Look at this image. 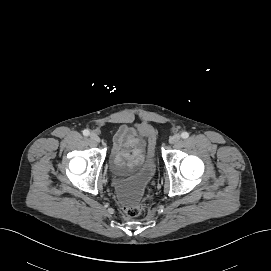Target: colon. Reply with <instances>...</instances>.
<instances>
[{
  "instance_id": "colon-1",
  "label": "colon",
  "mask_w": 271,
  "mask_h": 271,
  "mask_svg": "<svg viewBox=\"0 0 271 271\" xmlns=\"http://www.w3.org/2000/svg\"><path fill=\"white\" fill-rule=\"evenodd\" d=\"M143 211V206L140 204L125 206L122 209L123 215L128 218L137 217Z\"/></svg>"
}]
</instances>
